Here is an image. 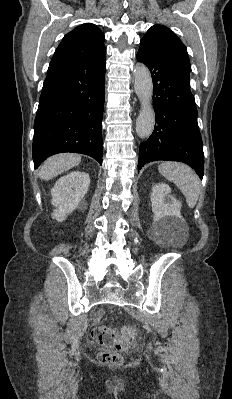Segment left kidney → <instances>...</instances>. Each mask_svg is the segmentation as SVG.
Masks as SVG:
<instances>
[{
    "instance_id": "obj_1",
    "label": "left kidney",
    "mask_w": 232,
    "mask_h": 399,
    "mask_svg": "<svg viewBox=\"0 0 232 399\" xmlns=\"http://www.w3.org/2000/svg\"><path fill=\"white\" fill-rule=\"evenodd\" d=\"M170 194L171 188L167 184H155L152 190L154 217L149 233L155 241H179L188 235L186 221L180 213L182 203Z\"/></svg>"
}]
</instances>
